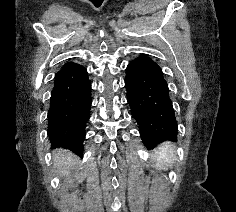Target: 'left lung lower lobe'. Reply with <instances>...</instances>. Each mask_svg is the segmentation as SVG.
Instances as JSON below:
<instances>
[{"instance_id":"1","label":"left lung lower lobe","mask_w":236,"mask_h":212,"mask_svg":"<svg viewBox=\"0 0 236 212\" xmlns=\"http://www.w3.org/2000/svg\"><path fill=\"white\" fill-rule=\"evenodd\" d=\"M125 87L144 145L150 149L162 141L176 140L177 123L168 84L149 55L140 54L128 64Z\"/></svg>"}]
</instances>
